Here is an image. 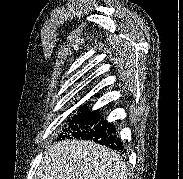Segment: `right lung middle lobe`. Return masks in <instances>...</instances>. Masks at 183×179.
<instances>
[{
    "label": "right lung middle lobe",
    "instance_id": "1",
    "mask_svg": "<svg viewBox=\"0 0 183 179\" xmlns=\"http://www.w3.org/2000/svg\"><path fill=\"white\" fill-rule=\"evenodd\" d=\"M79 109V113L69 119L68 127L63 129L64 133L60 134V138L80 136L100 120L99 110H88L85 105L80 106Z\"/></svg>",
    "mask_w": 183,
    "mask_h": 179
}]
</instances>
